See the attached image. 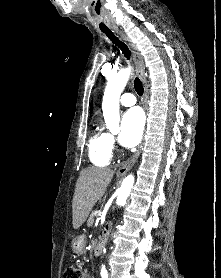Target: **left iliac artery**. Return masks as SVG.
Returning <instances> with one entry per match:
<instances>
[{
  "mask_svg": "<svg viewBox=\"0 0 221 278\" xmlns=\"http://www.w3.org/2000/svg\"><path fill=\"white\" fill-rule=\"evenodd\" d=\"M101 276H102V278H108V273H107V270L105 269L104 265L102 266V269H101Z\"/></svg>",
  "mask_w": 221,
  "mask_h": 278,
  "instance_id": "44dca946",
  "label": "left iliac artery"
}]
</instances>
